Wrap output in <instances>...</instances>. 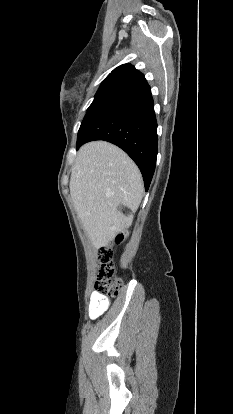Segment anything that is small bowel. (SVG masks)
<instances>
[{
	"instance_id": "c3829d8e",
	"label": "small bowel",
	"mask_w": 233,
	"mask_h": 414,
	"mask_svg": "<svg viewBox=\"0 0 233 414\" xmlns=\"http://www.w3.org/2000/svg\"><path fill=\"white\" fill-rule=\"evenodd\" d=\"M110 300L97 291L93 292L89 301V317L92 320L100 317L109 307Z\"/></svg>"
}]
</instances>
